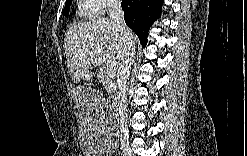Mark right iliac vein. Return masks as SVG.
<instances>
[{
	"label": "right iliac vein",
	"mask_w": 247,
	"mask_h": 156,
	"mask_svg": "<svg viewBox=\"0 0 247 156\" xmlns=\"http://www.w3.org/2000/svg\"><path fill=\"white\" fill-rule=\"evenodd\" d=\"M123 153L126 156H131L130 149L128 147H126V146L123 147Z\"/></svg>",
	"instance_id": "1"
}]
</instances>
